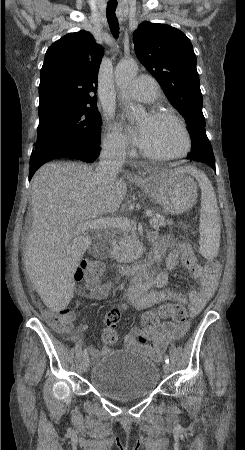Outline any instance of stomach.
Instances as JSON below:
<instances>
[{
    "instance_id": "0dacf381",
    "label": "stomach",
    "mask_w": 245,
    "mask_h": 450,
    "mask_svg": "<svg viewBox=\"0 0 245 450\" xmlns=\"http://www.w3.org/2000/svg\"><path fill=\"white\" fill-rule=\"evenodd\" d=\"M137 185L151 195L167 214L187 212L197 201V184L181 168L154 170Z\"/></svg>"
}]
</instances>
